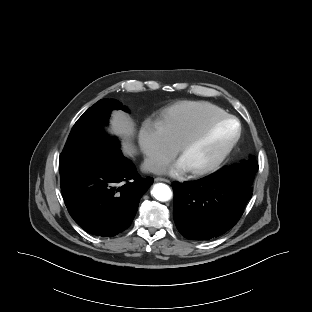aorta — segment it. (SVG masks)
Listing matches in <instances>:
<instances>
[{
    "instance_id": "1",
    "label": "aorta",
    "mask_w": 312,
    "mask_h": 312,
    "mask_svg": "<svg viewBox=\"0 0 312 312\" xmlns=\"http://www.w3.org/2000/svg\"><path fill=\"white\" fill-rule=\"evenodd\" d=\"M152 196L161 202H166L172 198L170 187L164 183H157L151 191Z\"/></svg>"
}]
</instances>
